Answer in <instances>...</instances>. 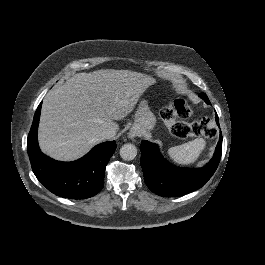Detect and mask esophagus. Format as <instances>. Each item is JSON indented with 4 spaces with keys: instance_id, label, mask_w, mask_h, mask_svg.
Listing matches in <instances>:
<instances>
[{
    "instance_id": "1",
    "label": "esophagus",
    "mask_w": 265,
    "mask_h": 265,
    "mask_svg": "<svg viewBox=\"0 0 265 265\" xmlns=\"http://www.w3.org/2000/svg\"><path fill=\"white\" fill-rule=\"evenodd\" d=\"M136 135H137V133H136V131L133 128L128 133V137L131 138V139L135 138Z\"/></svg>"
}]
</instances>
